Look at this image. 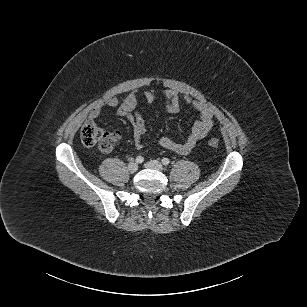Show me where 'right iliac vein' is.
Instances as JSON below:
<instances>
[{"label": "right iliac vein", "instance_id": "right-iliac-vein-1", "mask_svg": "<svg viewBox=\"0 0 307 307\" xmlns=\"http://www.w3.org/2000/svg\"><path fill=\"white\" fill-rule=\"evenodd\" d=\"M128 170L129 172L134 173L138 170V165L134 162H131L128 164Z\"/></svg>", "mask_w": 307, "mask_h": 307}]
</instances>
